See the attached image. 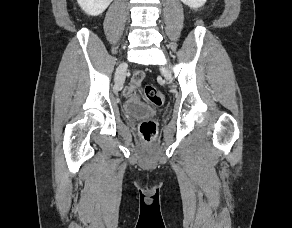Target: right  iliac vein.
Returning <instances> with one entry per match:
<instances>
[{"label": "right iliac vein", "mask_w": 292, "mask_h": 228, "mask_svg": "<svg viewBox=\"0 0 292 228\" xmlns=\"http://www.w3.org/2000/svg\"><path fill=\"white\" fill-rule=\"evenodd\" d=\"M125 63H121L119 67L117 68L116 74H115V85L117 87H120L125 79Z\"/></svg>", "instance_id": "63e3f726"}]
</instances>
